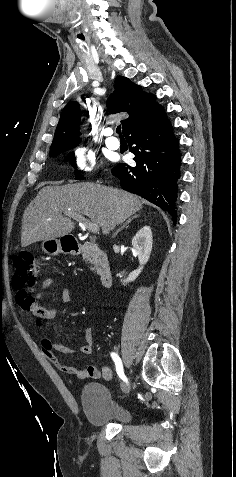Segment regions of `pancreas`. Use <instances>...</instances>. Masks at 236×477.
<instances>
[{
  "label": "pancreas",
  "mask_w": 236,
  "mask_h": 477,
  "mask_svg": "<svg viewBox=\"0 0 236 477\" xmlns=\"http://www.w3.org/2000/svg\"><path fill=\"white\" fill-rule=\"evenodd\" d=\"M83 252V258L85 259V261L93 265L91 267V270L100 274L102 272L103 263L100 258L99 251L96 249V247H94L90 243H86L84 244Z\"/></svg>",
  "instance_id": "1"
}]
</instances>
